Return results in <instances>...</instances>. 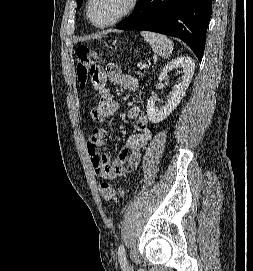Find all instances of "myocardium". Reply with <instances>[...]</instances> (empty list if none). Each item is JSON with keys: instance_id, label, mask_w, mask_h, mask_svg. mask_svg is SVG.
I'll return each mask as SVG.
<instances>
[{"instance_id": "myocardium-1", "label": "myocardium", "mask_w": 253, "mask_h": 271, "mask_svg": "<svg viewBox=\"0 0 253 271\" xmlns=\"http://www.w3.org/2000/svg\"><path fill=\"white\" fill-rule=\"evenodd\" d=\"M138 2L139 0H129L126 9L121 14H119L117 17H115L114 19H112L111 21L105 24H98L93 20L92 15H91V5L93 3V0H88L87 7H86V15L90 23L94 25L95 27L108 28L117 24L118 22H120L121 20L129 16L136 9Z\"/></svg>"}]
</instances>
